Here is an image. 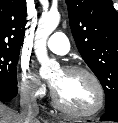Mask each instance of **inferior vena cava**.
Wrapping results in <instances>:
<instances>
[{
    "label": "inferior vena cava",
    "mask_w": 118,
    "mask_h": 123,
    "mask_svg": "<svg viewBox=\"0 0 118 123\" xmlns=\"http://www.w3.org/2000/svg\"><path fill=\"white\" fill-rule=\"evenodd\" d=\"M20 106V117L23 123H35L39 113V107L37 105L35 91L31 86H23L21 88Z\"/></svg>",
    "instance_id": "602c4592"
}]
</instances>
